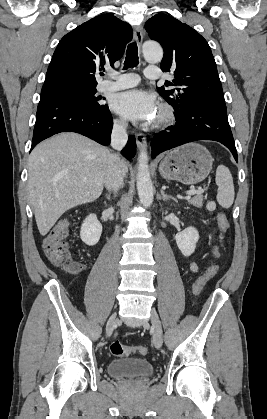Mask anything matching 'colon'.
Instances as JSON below:
<instances>
[{"instance_id": "1", "label": "colon", "mask_w": 267, "mask_h": 419, "mask_svg": "<svg viewBox=\"0 0 267 419\" xmlns=\"http://www.w3.org/2000/svg\"><path fill=\"white\" fill-rule=\"evenodd\" d=\"M218 227L221 234L225 233L229 227L228 219L224 213L217 215ZM71 227L69 218L59 220L49 231L43 241V249L47 258L57 267L67 272H77L78 263L74 260L66 242V237ZM217 267L210 265L205 272L194 282L193 293L199 295L206 283L216 274ZM110 353L114 356H128L131 354L146 355L148 349L140 345L136 347H125L120 341L114 340L109 346Z\"/></svg>"}]
</instances>
